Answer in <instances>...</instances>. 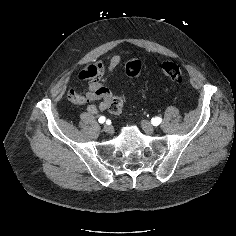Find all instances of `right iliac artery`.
I'll return each mask as SVG.
<instances>
[{
	"mask_svg": "<svg viewBox=\"0 0 236 236\" xmlns=\"http://www.w3.org/2000/svg\"><path fill=\"white\" fill-rule=\"evenodd\" d=\"M99 123H104L106 121V118L104 116H101L99 119H98Z\"/></svg>",
	"mask_w": 236,
	"mask_h": 236,
	"instance_id": "82829eb1",
	"label": "right iliac artery"
}]
</instances>
